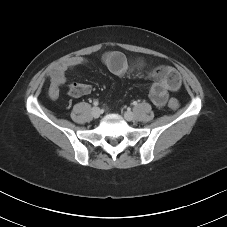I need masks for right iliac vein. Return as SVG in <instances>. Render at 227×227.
<instances>
[{"instance_id": "obj_1", "label": "right iliac vein", "mask_w": 227, "mask_h": 227, "mask_svg": "<svg viewBox=\"0 0 227 227\" xmlns=\"http://www.w3.org/2000/svg\"><path fill=\"white\" fill-rule=\"evenodd\" d=\"M100 114H101V111L98 107H94L92 109V115L94 118H98L100 116Z\"/></svg>"}]
</instances>
